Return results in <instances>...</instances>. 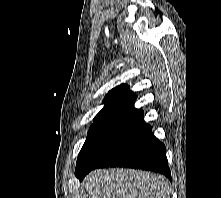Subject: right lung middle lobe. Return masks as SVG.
Wrapping results in <instances>:
<instances>
[{"instance_id": "obj_1", "label": "right lung middle lobe", "mask_w": 221, "mask_h": 198, "mask_svg": "<svg viewBox=\"0 0 221 198\" xmlns=\"http://www.w3.org/2000/svg\"><path fill=\"white\" fill-rule=\"evenodd\" d=\"M144 123L107 121L94 123L78 155L75 175L80 177L96 168L106 158L133 138Z\"/></svg>"}]
</instances>
